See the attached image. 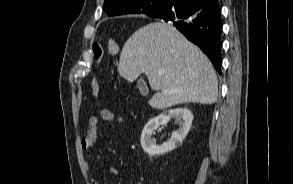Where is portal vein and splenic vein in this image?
Here are the masks:
<instances>
[{
  "label": "portal vein and splenic vein",
  "instance_id": "1",
  "mask_svg": "<svg viewBox=\"0 0 293 184\" xmlns=\"http://www.w3.org/2000/svg\"><path fill=\"white\" fill-rule=\"evenodd\" d=\"M163 92H164V93H167V91H166V90H164Z\"/></svg>",
  "mask_w": 293,
  "mask_h": 184
}]
</instances>
